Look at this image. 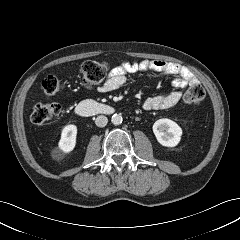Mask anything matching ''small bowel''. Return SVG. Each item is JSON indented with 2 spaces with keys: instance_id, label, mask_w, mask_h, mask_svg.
Here are the masks:
<instances>
[{
  "instance_id": "1",
  "label": "small bowel",
  "mask_w": 240,
  "mask_h": 240,
  "mask_svg": "<svg viewBox=\"0 0 240 240\" xmlns=\"http://www.w3.org/2000/svg\"><path fill=\"white\" fill-rule=\"evenodd\" d=\"M137 72L173 77L172 83L175 90L167 94L148 97L142 105L146 111L174 107L182 97V89L198 83L197 78L189 69L177 63L162 60L124 61L110 71L107 80L98 89L100 92L116 90L125 84L128 75Z\"/></svg>"
}]
</instances>
